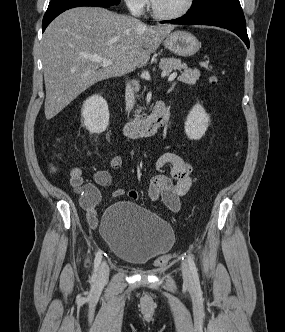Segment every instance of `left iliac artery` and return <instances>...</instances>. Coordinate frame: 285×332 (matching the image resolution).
Instances as JSON below:
<instances>
[{"mask_svg":"<svg viewBox=\"0 0 285 332\" xmlns=\"http://www.w3.org/2000/svg\"><path fill=\"white\" fill-rule=\"evenodd\" d=\"M187 261H188L192 276L194 278V281L196 283H198L199 282V276H198V272H197L198 270H197V267H196V264L194 262L192 254H190V253L188 254Z\"/></svg>","mask_w":285,"mask_h":332,"instance_id":"44dca946","label":"left iliac artery"}]
</instances>
